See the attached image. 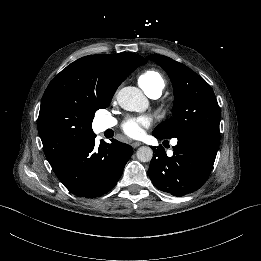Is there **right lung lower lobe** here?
<instances>
[{"mask_svg":"<svg viewBox=\"0 0 261 261\" xmlns=\"http://www.w3.org/2000/svg\"><path fill=\"white\" fill-rule=\"evenodd\" d=\"M133 149L115 139L100 142L95 148V137L72 150L51 165L54 173L72 194L94 198L110 191L123 172Z\"/></svg>","mask_w":261,"mask_h":261,"instance_id":"1","label":"right lung lower lobe"}]
</instances>
